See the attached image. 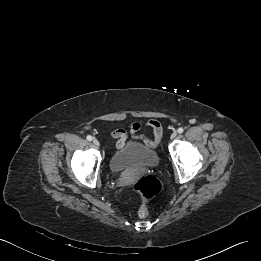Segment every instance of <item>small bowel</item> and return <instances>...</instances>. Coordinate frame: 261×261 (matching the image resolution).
I'll return each instance as SVG.
<instances>
[{
  "mask_svg": "<svg viewBox=\"0 0 261 261\" xmlns=\"http://www.w3.org/2000/svg\"><path fill=\"white\" fill-rule=\"evenodd\" d=\"M145 126L152 129L154 133V139H151L144 134L140 133L141 124L138 122H133L129 125L128 129L130 134L137 138L142 140L145 144L155 147L157 146L161 136H162V127L160 123L157 120H148L144 124ZM112 137L115 138L116 141V148L119 149L125 145L126 139H127V132L124 129H116L111 133Z\"/></svg>",
  "mask_w": 261,
  "mask_h": 261,
  "instance_id": "obj_1",
  "label": "small bowel"
}]
</instances>
